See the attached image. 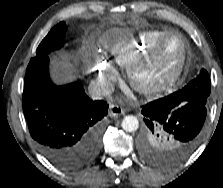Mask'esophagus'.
<instances>
[{"mask_svg":"<svg viewBox=\"0 0 223 188\" xmlns=\"http://www.w3.org/2000/svg\"><path fill=\"white\" fill-rule=\"evenodd\" d=\"M125 113V110L120 107L119 105H116L114 103H110L109 105V115L111 117H118L120 115H123Z\"/></svg>","mask_w":223,"mask_h":188,"instance_id":"34e87169","label":"esophagus"}]
</instances>
